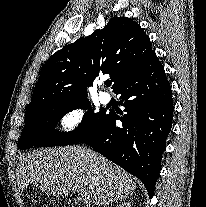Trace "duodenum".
<instances>
[{"label": "duodenum", "mask_w": 206, "mask_h": 207, "mask_svg": "<svg viewBox=\"0 0 206 207\" xmlns=\"http://www.w3.org/2000/svg\"><path fill=\"white\" fill-rule=\"evenodd\" d=\"M65 207H80L75 201L69 200L66 202Z\"/></svg>", "instance_id": "410a0bca"}]
</instances>
